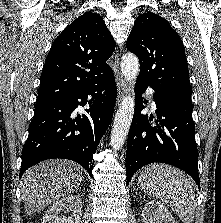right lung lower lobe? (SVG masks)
Returning a JSON list of instances; mask_svg holds the SVG:
<instances>
[{
    "label": "right lung lower lobe",
    "instance_id": "obj_1",
    "mask_svg": "<svg viewBox=\"0 0 221 223\" xmlns=\"http://www.w3.org/2000/svg\"><path fill=\"white\" fill-rule=\"evenodd\" d=\"M92 98L87 100L88 96ZM116 101V83L110 70L86 87L61 99L35 106L29 135L22 150L20 177L31 166L52 158L73 160L92 177L93 153L107 130ZM89 104L86 114H75Z\"/></svg>",
    "mask_w": 221,
    "mask_h": 223
}]
</instances>
